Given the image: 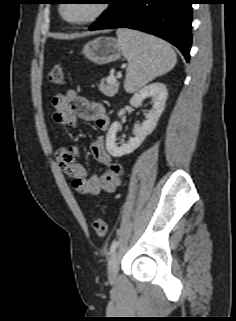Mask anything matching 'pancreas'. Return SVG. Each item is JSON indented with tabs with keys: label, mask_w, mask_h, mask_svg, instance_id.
Segmentation results:
<instances>
[{
	"label": "pancreas",
	"mask_w": 236,
	"mask_h": 321,
	"mask_svg": "<svg viewBox=\"0 0 236 321\" xmlns=\"http://www.w3.org/2000/svg\"><path fill=\"white\" fill-rule=\"evenodd\" d=\"M109 77L103 78L99 84L100 91L106 96H114L118 92L119 82L116 80L108 81Z\"/></svg>",
	"instance_id": "cf45deb5"
}]
</instances>
